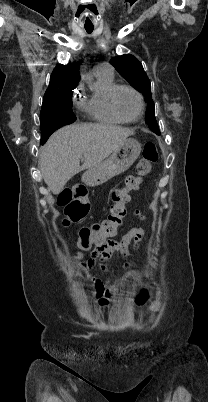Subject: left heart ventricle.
I'll return each instance as SVG.
<instances>
[{
  "mask_svg": "<svg viewBox=\"0 0 208 402\" xmlns=\"http://www.w3.org/2000/svg\"><path fill=\"white\" fill-rule=\"evenodd\" d=\"M116 105L119 112L127 118L136 117L140 111L138 97L129 90H122L118 93Z\"/></svg>",
  "mask_w": 208,
  "mask_h": 402,
  "instance_id": "obj_1",
  "label": "left heart ventricle"
}]
</instances>
